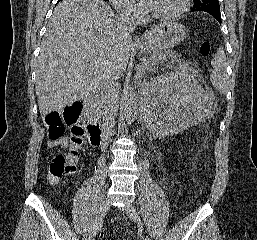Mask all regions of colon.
Masks as SVG:
<instances>
[{"mask_svg":"<svg viewBox=\"0 0 257 240\" xmlns=\"http://www.w3.org/2000/svg\"><path fill=\"white\" fill-rule=\"evenodd\" d=\"M211 41L205 40L200 46V55L208 58L211 55ZM81 106L72 104L63 112H50L46 115L47 135L50 141L63 140L66 143L64 152H57L49 165L48 177L57 182L65 176H72L78 171L83 130L80 126ZM70 133L65 135L66 128Z\"/></svg>","mask_w":257,"mask_h":240,"instance_id":"5ec220e1","label":"colon"}]
</instances>
